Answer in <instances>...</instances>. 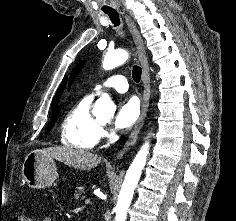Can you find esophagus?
<instances>
[{
    "label": "esophagus",
    "instance_id": "esophagus-1",
    "mask_svg": "<svg viewBox=\"0 0 236 221\" xmlns=\"http://www.w3.org/2000/svg\"><path fill=\"white\" fill-rule=\"evenodd\" d=\"M124 14V13H123ZM126 23L128 25L129 31L132 35L134 40L136 51L138 54L139 61L142 66V86H143V93H142V107H141V114L135 124L134 129L130 133L128 140L124 144L123 148L117 153L116 159H121L135 144L139 132L144 125L148 108L150 102V95H151V86H150V74H149V64L146 57V52L144 48L143 39L132 19L128 15H124Z\"/></svg>",
    "mask_w": 236,
    "mask_h": 221
}]
</instances>
